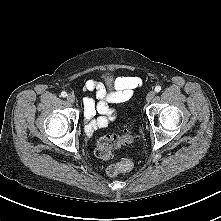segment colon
I'll list each match as a JSON object with an SVG mask.
<instances>
[{
    "mask_svg": "<svg viewBox=\"0 0 221 221\" xmlns=\"http://www.w3.org/2000/svg\"><path fill=\"white\" fill-rule=\"evenodd\" d=\"M134 138L132 126L127 125L121 134H111L102 137L97 143L95 154L98 158L107 160L111 157L113 149L132 143ZM133 166V159L131 157H124L118 163L108 166L106 172L109 177H116L130 171Z\"/></svg>",
    "mask_w": 221,
    "mask_h": 221,
    "instance_id": "5ec220e1",
    "label": "colon"
}]
</instances>
